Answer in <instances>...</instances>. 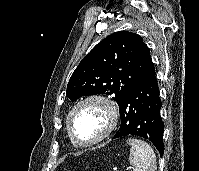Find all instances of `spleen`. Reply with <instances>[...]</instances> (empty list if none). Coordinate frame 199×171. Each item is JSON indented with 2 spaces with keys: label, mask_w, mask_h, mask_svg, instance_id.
I'll return each mask as SVG.
<instances>
[{
  "label": "spleen",
  "mask_w": 199,
  "mask_h": 171,
  "mask_svg": "<svg viewBox=\"0 0 199 171\" xmlns=\"http://www.w3.org/2000/svg\"><path fill=\"white\" fill-rule=\"evenodd\" d=\"M127 143L131 145L129 161L133 171L157 170L156 155L148 143L136 138H129Z\"/></svg>",
  "instance_id": "1"
}]
</instances>
